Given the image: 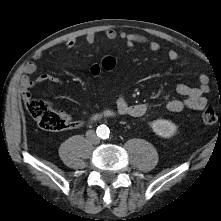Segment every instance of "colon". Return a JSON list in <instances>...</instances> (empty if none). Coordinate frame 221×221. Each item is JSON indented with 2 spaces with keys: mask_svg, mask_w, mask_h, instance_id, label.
<instances>
[{
  "mask_svg": "<svg viewBox=\"0 0 221 221\" xmlns=\"http://www.w3.org/2000/svg\"><path fill=\"white\" fill-rule=\"evenodd\" d=\"M116 64L114 58L106 57L101 62L92 65L90 71L92 74L98 75L102 70H113ZM26 108L43 130L58 132L68 128L67 120L55 112L50 104L43 99L29 98L26 101ZM201 120L205 124H214L218 120V115L214 109L207 108L202 112Z\"/></svg>",
  "mask_w": 221,
  "mask_h": 221,
  "instance_id": "colon-1",
  "label": "colon"
}]
</instances>
